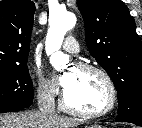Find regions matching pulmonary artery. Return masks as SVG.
<instances>
[{
    "mask_svg": "<svg viewBox=\"0 0 142 128\" xmlns=\"http://www.w3.org/2000/svg\"><path fill=\"white\" fill-rule=\"evenodd\" d=\"M62 48L69 53H78L79 45L73 36H68L63 42Z\"/></svg>",
    "mask_w": 142,
    "mask_h": 128,
    "instance_id": "1",
    "label": "pulmonary artery"
}]
</instances>
